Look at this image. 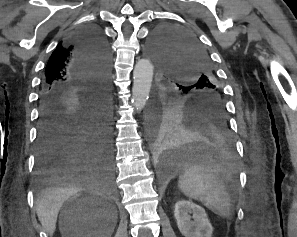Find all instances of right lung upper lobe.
I'll return each mask as SVG.
<instances>
[{"mask_svg": "<svg viewBox=\"0 0 297 237\" xmlns=\"http://www.w3.org/2000/svg\"><path fill=\"white\" fill-rule=\"evenodd\" d=\"M74 56L75 48L69 39L57 46L45 70L43 90L50 91L54 87H63L73 92L84 88L73 70Z\"/></svg>", "mask_w": 297, "mask_h": 237, "instance_id": "obj_1", "label": "right lung upper lobe"}]
</instances>
